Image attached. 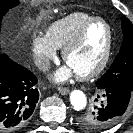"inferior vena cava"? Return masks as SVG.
I'll return each instance as SVG.
<instances>
[{"label":"inferior vena cava","mask_w":133,"mask_h":133,"mask_svg":"<svg viewBox=\"0 0 133 133\" xmlns=\"http://www.w3.org/2000/svg\"><path fill=\"white\" fill-rule=\"evenodd\" d=\"M34 63L41 71H47L50 68V61L45 56H36L34 58Z\"/></svg>","instance_id":"obj_1"}]
</instances>
